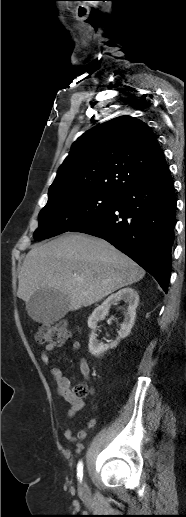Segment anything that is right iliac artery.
<instances>
[{"instance_id":"82829eb1","label":"right iliac artery","mask_w":186,"mask_h":517,"mask_svg":"<svg viewBox=\"0 0 186 517\" xmlns=\"http://www.w3.org/2000/svg\"><path fill=\"white\" fill-rule=\"evenodd\" d=\"M77 475L80 480H82L83 477V463L80 461L77 465Z\"/></svg>"}]
</instances>
